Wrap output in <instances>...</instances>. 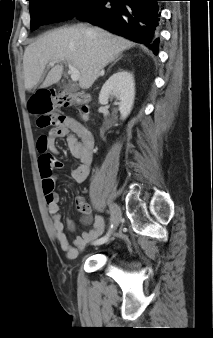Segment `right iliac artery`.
Wrapping results in <instances>:
<instances>
[{"mask_svg":"<svg viewBox=\"0 0 213 338\" xmlns=\"http://www.w3.org/2000/svg\"><path fill=\"white\" fill-rule=\"evenodd\" d=\"M111 228H112V225H111ZM109 236H110V231L105 236H103L100 239H97L96 241H94L93 244L94 245H101L109 239Z\"/></svg>","mask_w":213,"mask_h":338,"instance_id":"obj_1","label":"right iliac artery"}]
</instances>
